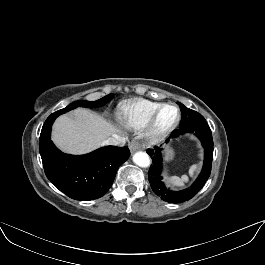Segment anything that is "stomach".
<instances>
[{"mask_svg":"<svg viewBox=\"0 0 265 265\" xmlns=\"http://www.w3.org/2000/svg\"><path fill=\"white\" fill-rule=\"evenodd\" d=\"M173 156H174V152H173V149L170 148V147H167L166 148V160H172L173 159Z\"/></svg>","mask_w":265,"mask_h":265,"instance_id":"0dacf381","label":"stomach"}]
</instances>
